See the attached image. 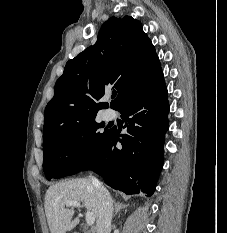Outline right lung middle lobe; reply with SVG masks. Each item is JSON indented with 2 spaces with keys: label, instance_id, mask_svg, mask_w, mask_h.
Here are the masks:
<instances>
[{
  "label": "right lung middle lobe",
  "instance_id": "right-lung-middle-lobe-1",
  "mask_svg": "<svg viewBox=\"0 0 227 233\" xmlns=\"http://www.w3.org/2000/svg\"><path fill=\"white\" fill-rule=\"evenodd\" d=\"M95 120L80 125L43 146V169L48 180L76 174L95 158L111 130Z\"/></svg>",
  "mask_w": 227,
  "mask_h": 233
}]
</instances>
